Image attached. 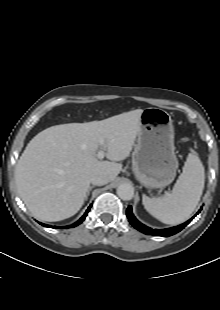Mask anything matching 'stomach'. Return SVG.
<instances>
[{"mask_svg":"<svg viewBox=\"0 0 220 310\" xmlns=\"http://www.w3.org/2000/svg\"><path fill=\"white\" fill-rule=\"evenodd\" d=\"M171 116L160 108H146L132 153L136 179L146 188H163L173 182L178 169Z\"/></svg>","mask_w":220,"mask_h":310,"instance_id":"1","label":"stomach"}]
</instances>
